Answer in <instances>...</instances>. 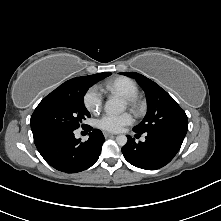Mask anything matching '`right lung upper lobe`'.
Instances as JSON below:
<instances>
[{"label": "right lung upper lobe", "mask_w": 221, "mask_h": 221, "mask_svg": "<svg viewBox=\"0 0 221 221\" xmlns=\"http://www.w3.org/2000/svg\"><path fill=\"white\" fill-rule=\"evenodd\" d=\"M71 82H72V79H71V80L66 81L65 83H63V84H62V85H60L59 87H65V86L69 85Z\"/></svg>", "instance_id": "obj_1"}]
</instances>
